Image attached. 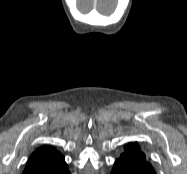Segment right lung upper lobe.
Returning a JSON list of instances; mask_svg holds the SVG:
<instances>
[{
	"label": "right lung upper lobe",
	"instance_id": "1",
	"mask_svg": "<svg viewBox=\"0 0 187 174\" xmlns=\"http://www.w3.org/2000/svg\"><path fill=\"white\" fill-rule=\"evenodd\" d=\"M67 168L64 157L55 148L43 146L30 156L23 174H60Z\"/></svg>",
	"mask_w": 187,
	"mask_h": 174
}]
</instances>
